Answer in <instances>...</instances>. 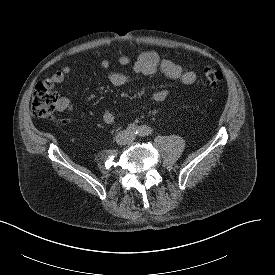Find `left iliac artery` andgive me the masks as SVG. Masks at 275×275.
Returning <instances> with one entry per match:
<instances>
[{"mask_svg":"<svg viewBox=\"0 0 275 275\" xmlns=\"http://www.w3.org/2000/svg\"><path fill=\"white\" fill-rule=\"evenodd\" d=\"M152 131L153 130L150 127L143 125V126L138 127V133L137 134L139 136H148L152 133Z\"/></svg>","mask_w":275,"mask_h":275,"instance_id":"left-iliac-artery-1","label":"left iliac artery"}]
</instances>
